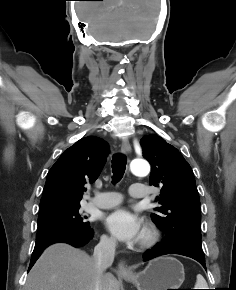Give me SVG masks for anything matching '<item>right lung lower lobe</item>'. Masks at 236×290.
<instances>
[{
    "label": "right lung lower lobe",
    "mask_w": 236,
    "mask_h": 290,
    "mask_svg": "<svg viewBox=\"0 0 236 290\" xmlns=\"http://www.w3.org/2000/svg\"><path fill=\"white\" fill-rule=\"evenodd\" d=\"M93 237V230L89 228L74 231L54 232L42 237L36 238L35 247L32 253L29 270L39 258L43 250L49 245L57 242L68 243L74 247H80L88 243ZM28 270V271H29Z\"/></svg>",
    "instance_id": "98d812e1"
}]
</instances>
